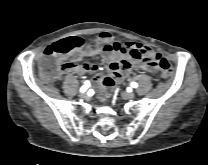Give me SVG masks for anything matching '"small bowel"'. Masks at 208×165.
Wrapping results in <instances>:
<instances>
[{
    "instance_id": "obj_1",
    "label": "small bowel",
    "mask_w": 208,
    "mask_h": 165,
    "mask_svg": "<svg viewBox=\"0 0 208 165\" xmlns=\"http://www.w3.org/2000/svg\"><path fill=\"white\" fill-rule=\"evenodd\" d=\"M144 53L151 55L153 51L150 47L134 42H120L107 31L97 35L84 51L74 57L73 61H60L57 68L60 72H71L78 75L85 73H97L98 66L92 62L79 64L83 58L102 55L107 62V74H99L94 78V84L103 89V96L107 97L115 84L120 83L133 70L141 68L149 73H155L157 67L154 62L143 60Z\"/></svg>"
}]
</instances>
